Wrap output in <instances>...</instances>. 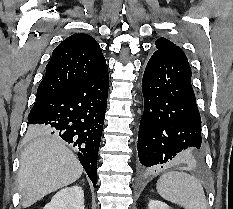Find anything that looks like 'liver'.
Masks as SVG:
<instances>
[{
  "mask_svg": "<svg viewBox=\"0 0 233 209\" xmlns=\"http://www.w3.org/2000/svg\"><path fill=\"white\" fill-rule=\"evenodd\" d=\"M29 133L37 137L24 149L20 158L18 188L23 208L74 183L83 172L74 153L58 137L49 136V130L30 127Z\"/></svg>",
  "mask_w": 233,
  "mask_h": 209,
  "instance_id": "liver-1",
  "label": "liver"
}]
</instances>
